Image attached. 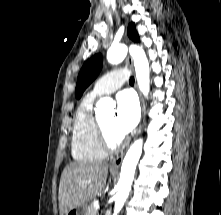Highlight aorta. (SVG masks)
I'll return each instance as SVG.
<instances>
[{
	"instance_id": "obj_1",
	"label": "aorta",
	"mask_w": 221,
	"mask_h": 215,
	"mask_svg": "<svg viewBox=\"0 0 221 215\" xmlns=\"http://www.w3.org/2000/svg\"><path fill=\"white\" fill-rule=\"evenodd\" d=\"M128 51L134 61L139 89L144 96H148L150 91L149 62L142 47L137 45H130L128 47L125 44L112 45L107 51V60L111 64H119L125 59ZM96 106L97 110H102L107 106H114V102L110 98H102L98 101ZM142 148L143 139L140 138L132 144L125 155L121 166L119 190L115 196L113 215H117L121 211L130 193L136 165L142 154Z\"/></svg>"
}]
</instances>
